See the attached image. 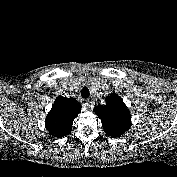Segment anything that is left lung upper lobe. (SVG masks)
I'll use <instances>...</instances> for the list:
<instances>
[{"instance_id": "obj_1", "label": "left lung upper lobe", "mask_w": 177, "mask_h": 177, "mask_svg": "<svg viewBox=\"0 0 177 177\" xmlns=\"http://www.w3.org/2000/svg\"><path fill=\"white\" fill-rule=\"evenodd\" d=\"M94 112L101 119L105 133L111 137H121L131 127L130 112L116 93L107 97L105 105L95 107Z\"/></svg>"}]
</instances>
